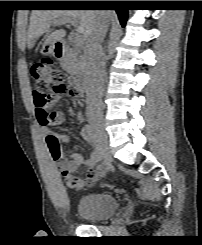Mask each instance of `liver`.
Masks as SVG:
<instances>
[{"instance_id": "obj_1", "label": "liver", "mask_w": 202, "mask_h": 245, "mask_svg": "<svg viewBox=\"0 0 202 245\" xmlns=\"http://www.w3.org/2000/svg\"><path fill=\"white\" fill-rule=\"evenodd\" d=\"M98 12L93 10H33L30 16V24L27 34V46L31 49L35 42L43 35L51 32V25L57 21L65 19H78L77 32L83 34L84 39H88L95 27ZM108 19L111 12H103ZM66 35L63 29L52 31L45 44L61 41Z\"/></svg>"}]
</instances>
